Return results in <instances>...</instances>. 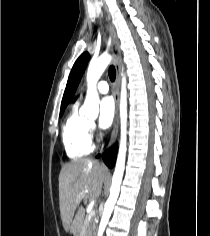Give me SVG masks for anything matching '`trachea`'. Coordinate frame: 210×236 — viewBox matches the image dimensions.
I'll list each match as a JSON object with an SVG mask.
<instances>
[{
  "label": "trachea",
  "instance_id": "3493384b",
  "mask_svg": "<svg viewBox=\"0 0 210 236\" xmlns=\"http://www.w3.org/2000/svg\"><path fill=\"white\" fill-rule=\"evenodd\" d=\"M109 78L112 82L115 81V78H116V71H115V67L113 65H111L109 67Z\"/></svg>",
  "mask_w": 210,
  "mask_h": 236
}]
</instances>
